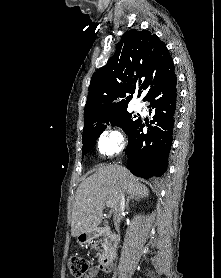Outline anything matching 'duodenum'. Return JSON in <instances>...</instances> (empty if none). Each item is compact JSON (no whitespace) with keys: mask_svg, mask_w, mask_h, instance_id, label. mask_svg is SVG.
<instances>
[{"mask_svg":"<svg viewBox=\"0 0 221 278\" xmlns=\"http://www.w3.org/2000/svg\"><path fill=\"white\" fill-rule=\"evenodd\" d=\"M99 236H106L111 241L110 246L99 257L100 268H102L104 270H108V268L110 267V265L112 263L114 254L116 252V244L115 243L117 240L116 234L111 230V228L101 227V228H97L92 231L84 232L80 236V241L82 243H87L91 240L96 239Z\"/></svg>","mask_w":221,"mask_h":278,"instance_id":"410a0bca","label":"duodenum"}]
</instances>
